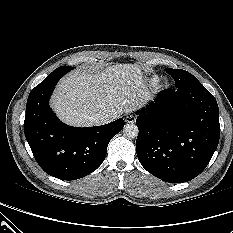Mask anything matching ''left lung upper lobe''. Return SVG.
<instances>
[{"label": "left lung upper lobe", "mask_w": 233, "mask_h": 233, "mask_svg": "<svg viewBox=\"0 0 233 233\" xmlns=\"http://www.w3.org/2000/svg\"><path fill=\"white\" fill-rule=\"evenodd\" d=\"M175 80L176 88H181L190 84H199L198 79L189 72L182 69H165Z\"/></svg>", "instance_id": "1"}]
</instances>
